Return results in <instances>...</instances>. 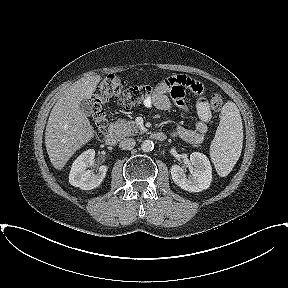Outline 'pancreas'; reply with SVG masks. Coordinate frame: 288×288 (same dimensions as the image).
Instances as JSON below:
<instances>
[{"label": "pancreas", "mask_w": 288, "mask_h": 288, "mask_svg": "<svg viewBox=\"0 0 288 288\" xmlns=\"http://www.w3.org/2000/svg\"><path fill=\"white\" fill-rule=\"evenodd\" d=\"M114 130L119 137L132 136L137 133H142L140 126L134 121L118 120L114 124Z\"/></svg>", "instance_id": "pancreas-1"}]
</instances>
